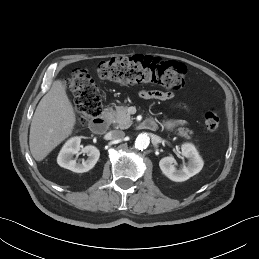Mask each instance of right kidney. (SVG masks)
I'll use <instances>...</instances> for the list:
<instances>
[{
    "instance_id": "right-kidney-1",
    "label": "right kidney",
    "mask_w": 259,
    "mask_h": 259,
    "mask_svg": "<svg viewBox=\"0 0 259 259\" xmlns=\"http://www.w3.org/2000/svg\"><path fill=\"white\" fill-rule=\"evenodd\" d=\"M80 142V137H73L64 144L57 157V163L61 167L76 173H83L95 166L100 156L99 150L92 145L85 146L81 149ZM79 151L88 156L87 160H82V163L73 159V156L78 154Z\"/></svg>"
}]
</instances>
